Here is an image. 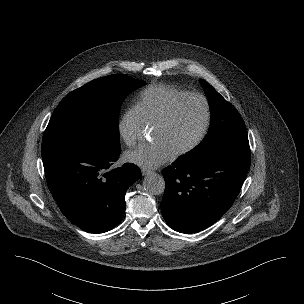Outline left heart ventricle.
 I'll return each instance as SVG.
<instances>
[{
	"mask_svg": "<svg viewBox=\"0 0 304 304\" xmlns=\"http://www.w3.org/2000/svg\"><path fill=\"white\" fill-rule=\"evenodd\" d=\"M205 117L203 103L198 99L185 101L171 121L152 131L154 142L164 143L173 153L191 144L198 136Z\"/></svg>",
	"mask_w": 304,
	"mask_h": 304,
	"instance_id": "1",
	"label": "left heart ventricle"
}]
</instances>
